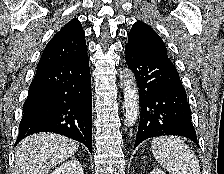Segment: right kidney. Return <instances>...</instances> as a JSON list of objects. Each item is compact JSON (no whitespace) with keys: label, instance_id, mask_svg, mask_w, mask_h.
I'll return each instance as SVG.
<instances>
[{"label":"right kidney","instance_id":"obj_1","mask_svg":"<svg viewBox=\"0 0 224 174\" xmlns=\"http://www.w3.org/2000/svg\"><path fill=\"white\" fill-rule=\"evenodd\" d=\"M50 174H83V169L78 160L72 159L58 166Z\"/></svg>","mask_w":224,"mask_h":174}]
</instances>
